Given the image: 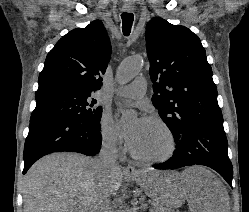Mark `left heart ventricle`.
Returning a JSON list of instances; mask_svg holds the SVG:
<instances>
[{
	"mask_svg": "<svg viewBox=\"0 0 249 212\" xmlns=\"http://www.w3.org/2000/svg\"><path fill=\"white\" fill-rule=\"evenodd\" d=\"M170 140L165 131L158 124L143 121L140 138L133 151L142 157H160L168 153Z\"/></svg>",
	"mask_w": 249,
	"mask_h": 212,
	"instance_id": "obj_1",
	"label": "left heart ventricle"
}]
</instances>
